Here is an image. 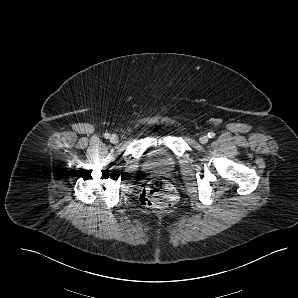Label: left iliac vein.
<instances>
[{"instance_id": "4c4485c4", "label": "left iliac vein", "mask_w": 298, "mask_h": 298, "mask_svg": "<svg viewBox=\"0 0 298 298\" xmlns=\"http://www.w3.org/2000/svg\"><path fill=\"white\" fill-rule=\"evenodd\" d=\"M208 136L207 135H202L200 138H199V141L200 143L202 144H206L208 142Z\"/></svg>"}]
</instances>
